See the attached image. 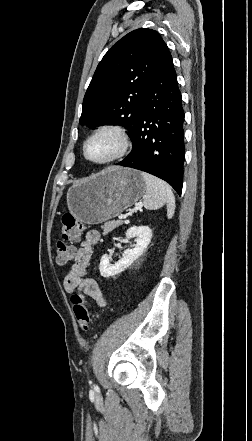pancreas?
Segmentation results:
<instances>
[{
	"instance_id": "1",
	"label": "pancreas",
	"mask_w": 252,
	"mask_h": 441,
	"mask_svg": "<svg viewBox=\"0 0 252 441\" xmlns=\"http://www.w3.org/2000/svg\"><path fill=\"white\" fill-rule=\"evenodd\" d=\"M123 224V221L121 220H117V221H109L106 222L104 225L101 226V228L103 229V234L106 235L109 232H111L112 230H114L115 228L121 226Z\"/></svg>"
}]
</instances>
